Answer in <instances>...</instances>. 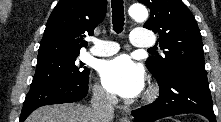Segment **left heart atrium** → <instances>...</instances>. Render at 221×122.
I'll use <instances>...</instances> for the list:
<instances>
[{
  "instance_id": "39dd6f15",
  "label": "left heart atrium",
  "mask_w": 221,
  "mask_h": 122,
  "mask_svg": "<svg viewBox=\"0 0 221 122\" xmlns=\"http://www.w3.org/2000/svg\"><path fill=\"white\" fill-rule=\"evenodd\" d=\"M99 73L104 87L110 93L123 98H135L144 88L145 77L142 67L127 55L103 61Z\"/></svg>"
}]
</instances>
